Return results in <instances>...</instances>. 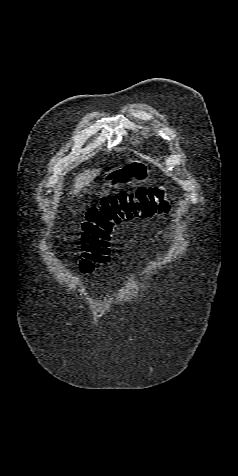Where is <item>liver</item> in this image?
I'll return each mask as SVG.
<instances>
[{"mask_svg":"<svg viewBox=\"0 0 238 476\" xmlns=\"http://www.w3.org/2000/svg\"><path fill=\"white\" fill-rule=\"evenodd\" d=\"M101 169H93V170H84L83 173L77 175L74 182V190L73 193H78L84 186L88 185L93 179L100 173Z\"/></svg>","mask_w":238,"mask_h":476,"instance_id":"obj_1","label":"liver"}]
</instances>
